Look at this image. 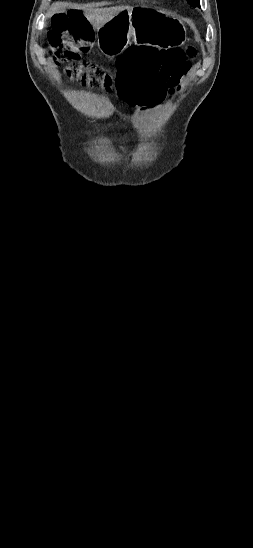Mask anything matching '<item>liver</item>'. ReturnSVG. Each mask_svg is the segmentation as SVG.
I'll return each mask as SVG.
<instances>
[{
  "label": "liver",
  "instance_id": "1",
  "mask_svg": "<svg viewBox=\"0 0 253 548\" xmlns=\"http://www.w3.org/2000/svg\"><path fill=\"white\" fill-rule=\"evenodd\" d=\"M67 8L70 9H84V16L90 22L94 29H99L110 21L114 16L124 10L133 9L130 6H115L109 8H92L89 5H78L68 2H55L51 5L48 15L52 16L56 13H63Z\"/></svg>",
  "mask_w": 253,
  "mask_h": 548
}]
</instances>
